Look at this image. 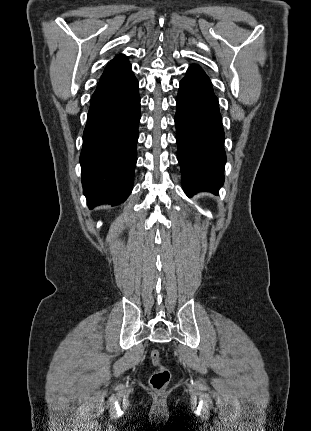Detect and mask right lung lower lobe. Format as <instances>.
<instances>
[{
  "mask_svg": "<svg viewBox=\"0 0 311 431\" xmlns=\"http://www.w3.org/2000/svg\"><path fill=\"white\" fill-rule=\"evenodd\" d=\"M139 120L138 81L131 67L101 78L91 99L80 155L90 208L102 202L120 204L131 193Z\"/></svg>",
  "mask_w": 311,
  "mask_h": 431,
  "instance_id": "98d812e1",
  "label": "right lung lower lobe"
}]
</instances>
